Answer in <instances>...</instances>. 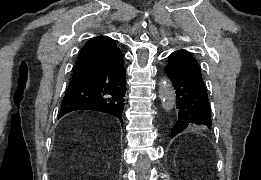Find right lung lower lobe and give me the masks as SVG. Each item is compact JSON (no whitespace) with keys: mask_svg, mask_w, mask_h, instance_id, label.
<instances>
[{"mask_svg":"<svg viewBox=\"0 0 261 180\" xmlns=\"http://www.w3.org/2000/svg\"><path fill=\"white\" fill-rule=\"evenodd\" d=\"M125 90L123 61L112 66L94 68L70 82L59 116L76 110H95L115 115L123 123Z\"/></svg>","mask_w":261,"mask_h":180,"instance_id":"right-lung-lower-lobe-1","label":"right lung lower lobe"}]
</instances>
